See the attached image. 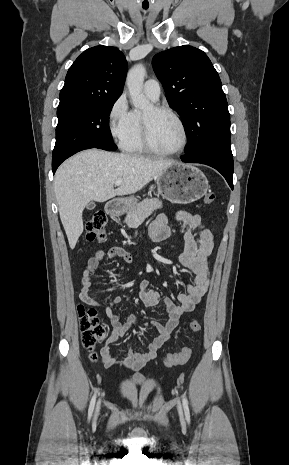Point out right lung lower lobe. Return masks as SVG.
I'll use <instances>...</instances> for the list:
<instances>
[{
    "label": "right lung lower lobe",
    "mask_w": 289,
    "mask_h": 465,
    "mask_svg": "<svg viewBox=\"0 0 289 465\" xmlns=\"http://www.w3.org/2000/svg\"><path fill=\"white\" fill-rule=\"evenodd\" d=\"M63 161H64V160H63ZM63 161L52 162V171H53V174L55 173L56 169L58 168V166H59Z\"/></svg>",
    "instance_id": "1"
}]
</instances>
